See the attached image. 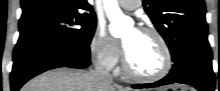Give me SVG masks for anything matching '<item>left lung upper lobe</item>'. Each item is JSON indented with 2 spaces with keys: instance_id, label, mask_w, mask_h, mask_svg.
<instances>
[{
  "instance_id": "obj_1",
  "label": "left lung upper lobe",
  "mask_w": 220,
  "mask_h": 91,
  "mask_svg": "<svg viewBox=\"0 0 220 91\" xmlns=\"http://www.w3.org/2000/svg\"><path fill=\"white\" fill-rule=\"evenodd\" d=\"M143 6L174 63L185 51L210 48L203 0H143Z\"/></svg>"
}]
</instances>
